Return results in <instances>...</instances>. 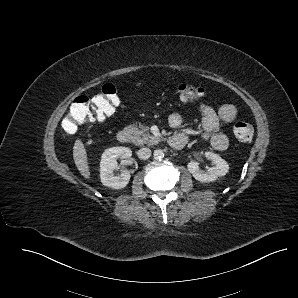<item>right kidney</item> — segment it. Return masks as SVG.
Segmentation results:
<instances>
[{
	"label": "right kidney",
	"instance_id": "ca27d5eb",
	"mask_svg": "<svg viewBox=\"0 0 298 298\" xmlns=\"http://www.w3.org/2000/svg\"><path fill=\"white\" fill-rule=\"evenodd\" d=\"M132 156V151L128 147L118 146L106 149L101 156L100 161V179L104 186L121 189L127 186L130 180L128 171L122 172L119 176L114 175L117 168V159H128Z\"/></svg>",
	"mask_w": 298,
	"mask_h": 298
}]
</instances>
